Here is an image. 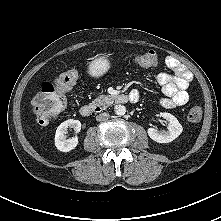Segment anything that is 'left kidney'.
Wrapping results in <instances>:
<instances>
[{
  "label": "left kidney",
  "instance_id": "left-kidney-1",
  "mask_svg": "<svg viewBox=\"0 0 221 221\" xmlns=\"http://www.w3.org/2000/svg\"><path fill=\"white\" fill-rule=\"evenodd\" d=\"M160 116L169 122L168 130L158 131L156 128H149L147 133L152 140L158 143H169L175 140L182 133L183 128L177 118L172 114L160 113Z\"/></svg>",
  "mask_w": 221,
  "mask_h": 221
}]
</instances>
